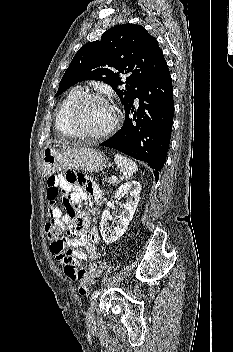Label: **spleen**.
I'll list each match as a JSON object with an SVG mask.
<instances>
[{
    "instance_id": "3e777b00",
    "label": "spleen",
    "mask_w": 233,
    "mask_h": 352,
    "mask_svg": "<svg viewBox=\"0 0 233 352\" xmlns=\"http://www.w3.org/2000/svg\"><path fill=\"white\" fill-rule=\"evenodd\" d=\"M114 161L126 180L131 179L133 174L138 170L137 164L123 155L116 154Z\"/></svg>"
}]
</instances>
